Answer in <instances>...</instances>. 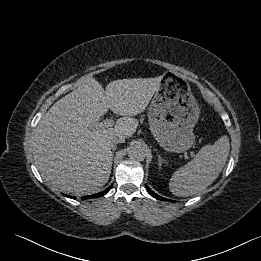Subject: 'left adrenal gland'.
<instances>
[{"instance_id": "obj_1", "label": "left adrenal gland", "mask_w": 261, "mask_h": 261, "mask_svg": "<svg viewBox=\"0 0 261 261\" xmlns=\"http://www.w3.org/2000/svg\"><path fill=\"white\" fill-rule=\"evenodd\" d=\"M159 168H161L162 164H167L165 160L162 159L161 155H158Z\"/></svg>"}]
</instances>
